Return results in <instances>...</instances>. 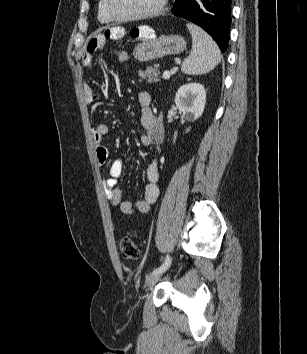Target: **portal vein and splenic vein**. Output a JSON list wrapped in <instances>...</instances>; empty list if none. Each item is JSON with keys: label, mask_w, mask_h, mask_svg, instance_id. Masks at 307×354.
I'll use <instances>...</instances> for the list:
<instances>
[{"label": "portal vein and splenic vein", "mask_w": 307, "mask_h": 354, "mask_svg": "<svg viewBox=\"0 0 307 354\" xmlns=\"http://www.w3.org/2000/svg\"><path fill=\"white\" fill-rule=\"evenodd\" d=\"M170 76H171V74L168 70L163 72V75H162L163 79H169Z\"/></svg>", "instance_id": "18ae733b"}]
</instances>
